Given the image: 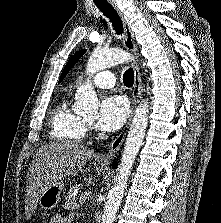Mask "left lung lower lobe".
Returning <instances> with one entry per match:
<instances>
[{
  "instance_id": "obj_1",
  "label": "left lung lower lobe",
  "mask_w": 221,
  "mask_h": 223,
  "mask_svg": "<svg viewBox=\"0 0 221 223\" xmlns=\"http://www.w3.org/2000/svg\"><path fill=\"white\" fill-rule=\"evenodd\" d=\"M116 166H117V164H116V163L112 164V167H113V168H115Z\"/></svg>"
}]
</instances>
